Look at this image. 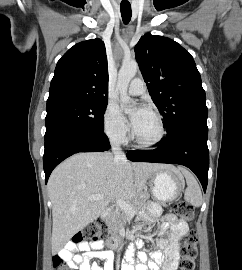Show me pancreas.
I'll use <instances>...</instances> for the list:
<instances>
[{"label": "pancreas", "mask_w": 242, "mask_h": 270, "mask_svg": "<svg viewBox=\"0 0 242 270\" xmlns=\"http://www.w3.org/2000/svg\"><path fill=\"white\" fill-rule=\"evenodd\" d=\"M147 199L148 194H143L139 198L131 200L129 203L132 205L135 212H138ZM126 219L127 214L120 207H116L111 213L109 219L106 221L109 232L113 233L116 236L123 227Z\"/></svg>", "instance_id": "obj_1"}]
</instances>
